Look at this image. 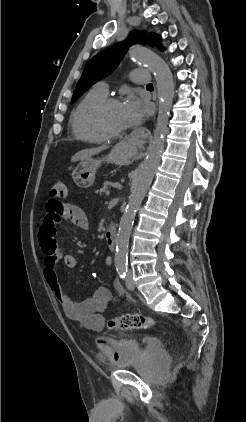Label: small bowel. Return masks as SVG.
Listing matches in <instances>:
<instances>
[{
	"instance_id": "small-bowel-1",
	"label": "small bowel",
	"mask_w": 246,
	"mask_h": 422,
	"mask_svg": "<svg viewBox=\"0 0 246 422\" xmlns=\"http://www.w3.org/2000/svg\"><path fill=\"white\" fill-rule=\"evenodd\" d=\"M61 221H70L80 229L88 228V219L84 211L72 204H62L53 208L46 205V213L39 230V243L44 253V276L50 290L55 294L65 315L79 325L100 331L104 328V311L112 302H117L122 295V289L117 281L113 283L114 293L107 287L96 288L88 297L72 299L62 289L57 273V264L63 261L67 268L76 266V259L70 254H64L56 240V225ZM105 264L110 266L112 260L105 258Z\"/></svg>"
}]
</instances>
